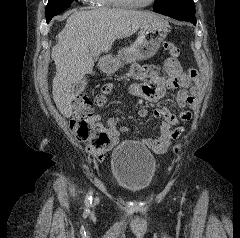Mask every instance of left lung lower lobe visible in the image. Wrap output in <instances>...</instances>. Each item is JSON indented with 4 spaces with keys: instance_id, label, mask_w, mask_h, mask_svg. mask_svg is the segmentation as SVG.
<instances>
[{
    "instance_id": "1",
    "label": "left lung lower lobe",
    "mask_w": 240,
    "mask_h": 238,
    "mask_svg": "<svg viewBox=\"0 0 240 238\" xmlns=\"http://www.w3.org/2000/svg\"><path fill=\"white\" fill-rule=\"evenodd\" d=\"M156 12L166 15V16H169L174 19L188 21V22L193 23L194 25L196 24L195 14L186 13V12H182V11H176V10H162V11H156Z\"/></svg>"
}]
</instances>
